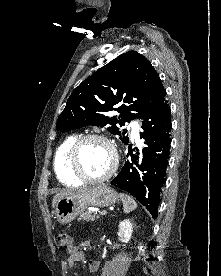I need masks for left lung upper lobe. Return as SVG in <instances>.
<instances>
[{
    "label": "left lung upper lobe",
    "instance_id": "left-lung-upper-lobe-1",
    "mask_svg": "<svg viewBox=\"0 0 221 276\" xmlns=\"http://www.w3.org/2000/svg\"><path fill=\"white\" fill-rule=\"evenodd\" d=\"M166 91L151 63L136 51L119 55L84 80L71 93L56 129L70 131L95 125L119 135L128 144L124 126L135 118L145 119L164 100ZM120 105L114 108L115 105ZM116 110L119 116L110 112Z\"/></svg>",
    "mask_w": 221,
    "mask_h": 276
}]
</instances>
